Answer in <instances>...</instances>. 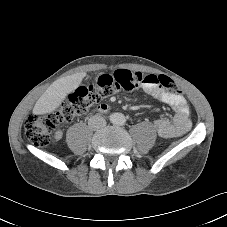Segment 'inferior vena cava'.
<instances>
[{
    "label": "inferior vena cava",
    "mask_w": 227,
    "mask_h": 227,
    "mask_svg": "<svg viewBox=\"0 0 227 227\" xmlns=\"http://www.w3.org/2000/svg\"><path fill=\"white\" fill-rule=\"evenodd\" d=\"M88 125L91 129L97 130L106 126V120L100 115H94L89 119Z\"/></svg>",
    "instance_id": "1"
}]
</instances>
